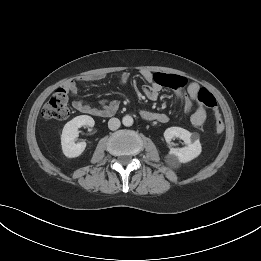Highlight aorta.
<instances>
[{
    "instance_id": "762f6f07",
    "label": "aorta",
    "mask_w": 261,
    "mask_h": 261,
    "mask_svg": "<svg viewBox=\"0 0 261 261\" xmlns=\"http://www.w3.org/2000/svg\"><path fill=\"white\" fill-rule=\"evenodd\" d=\"M122 123L126 127H130L133 125V118L130 115H126L122 118Z\"/></svg>"
}]
</instances>
